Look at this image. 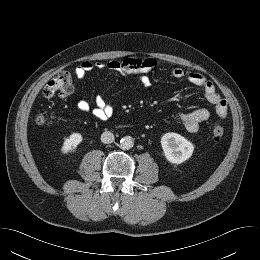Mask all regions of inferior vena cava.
<instances>
[{
    "label": "inferior vena cava",
    "mask_w": 260,
    "mask_h": 260,
    "mask_svg": "<svg viewBox=\"0 0 260 260\" xmlns=\"http://www.w3.org/2000/svg\"><path fill=\"white\" fill-rule=\"evenodd\" d=\"M101 141L105 144L112 143L114 141V135L110 131H105L101 134Z\"/></svg>",
    "instance_id": "inferior-vena-cava-1"
}]
</instances>
